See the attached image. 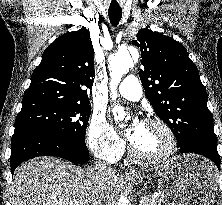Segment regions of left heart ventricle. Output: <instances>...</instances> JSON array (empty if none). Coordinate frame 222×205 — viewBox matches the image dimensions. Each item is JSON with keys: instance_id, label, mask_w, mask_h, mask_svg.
I'll return each mask as SVG.
<instances>
[{"instance_id": "obj_1", "label": "left heart ventricle", "mask_w": 222, "mask_h": 205, "mask_svg": "<svg viewBox=\"0 0 222 205\" xmlns=\"http://www.w3.org/2000/svg\"><path fill=\"white\" fill-rule=\"evenodd\" d=\"M131 143L140 156L155 157L165 151L168 139L159 126L141 123Z\"/></svg>"}]
</instances>
